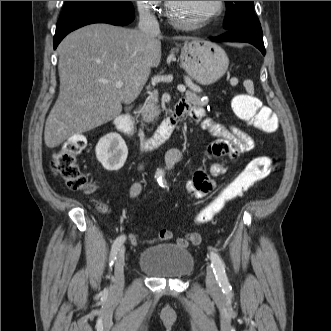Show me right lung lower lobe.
I'll return each instance as SVG.
<instances>
[{
  "label": "right lung lower lobe",
  "mask_w": 331,
  "mask_h": 331,
  "mask_svg": "<svg viewBox=\"0 0 331 331\" xmlns=\"http://www.w3.org/2000/svg\"><path fill=\"white\" fill-rule=\"evenodd\" d=\"M135 13L132 3L96 8L75 15L66 20L58 21L54 36V49L71 31L93 23H108L125 26L134 20Z\"/></svg>",
  "instance_id": "obj_1"
}]
</instances>
